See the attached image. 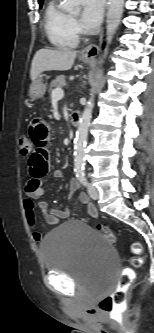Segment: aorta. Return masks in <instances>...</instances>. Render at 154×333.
<instances>
[{
    "label": "aorta",
    "mask_w": 154,
    "mask_h": 333,
    "mask_svg": "<svg viewBox=\"0 0 154 333\" xmlns=\"http://www.w3.org/2000/svg\"><path fill=\"white\" fill-rule=\"evenodd\" d=\"M109 7L107 13V26H106V41L107 45L104 50V56L107 54L108 46L120 24V20L123 13L124 0H109ZM63 7L69 12H79L80 11V0H64ZM100 75H97V80ZM98 81L93 84L90 93V99L80 117L79 126L76 132V138L74 141V166L76 169H83L85 165V155H86V144L88 129L90 126V121L92 117V111L94 107V96L96 93V87Z\"/></svg>",
    "instance_id": "1"
}]
</instances>
